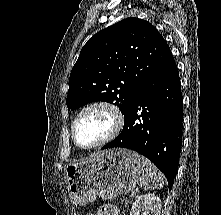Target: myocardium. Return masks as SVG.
Returning <instances> with one entry per match:
<instances>
[{
	"instance_id": "myocardium-1",
	"label": "myocardium",
	"mask_w": 221,
	"mask_h": 215,
	"mask_svg": "<svg viewBox=\"0 0 221 215\" xmlns=\"http://www.w3.org/2000/svg\"><path fill=\"white\" fill-rule=\"evenodd\" d=\"M94 108H103L105 110H107L113 120V126L112 129L110 131V133L105 136L103 139H101L99 142L90 145V146H83L81 145L77 138H76V125L79 121V119L81 118V116ZM124 126V115L122 114L120 108L113 102L108 101V100H96V101H92L88 104H86L85 106H83L78 113L76 114L73 122H72V126H71V134H72V139L75 143V145L81 149H85V150H92V149H96L99 148L111 141H113L122 131Z\"/></svg>"
}]
</instances>
